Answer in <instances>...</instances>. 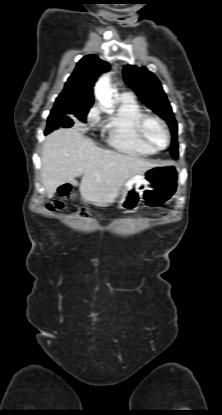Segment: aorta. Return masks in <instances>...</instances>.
<instances>
[{
  "mask_svg": "<svg viewBox=\"0 0 222 415\" xmlns=\"http://www.w3.org/2000/svg\"><path fill=\"white\" fill-rule=\"evenodd\" d=\"M113 89L109 74L102 75L95 85V97L99 101L101 108L105 111L113 107L112 104Z\"/></svg>",
  "mask_w": 222,
  "mask_h": 415,
  "instance_id": "762f6f07",
  "label": "aorta"
}]
</instances>
